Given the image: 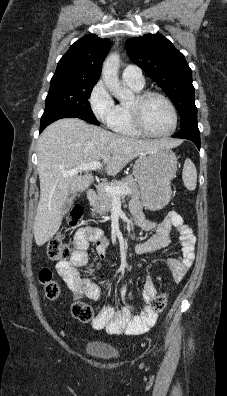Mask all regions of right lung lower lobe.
I'll use <instances>...</instances> for the list:
<instances>
[{
    "label": "right lung lower lobe",
    "instance_id": "obj_1",
    "mask_svg": "<svg viewBox=\"0 0 227 396\" xmlns=\"http://www.w3.org/2000/svg\"><path fill=\"white\" fill-rule=\"evenodd\" d=\"M68 117H74V118H80L75 113L69 112V111H58V112H53L50 114L43 115L41 118V125H40V132H42L49 124L52 122L61 119V118H68Z\"/></svg>",
    "mask_w": 227,
    "mask_h": 396
}]
</instances>
